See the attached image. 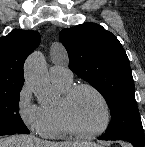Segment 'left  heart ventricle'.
Instances as JSON below:
<instances>
[{
  "label": "left heart ventricle",
  "mask_w": 145,
  "mask_h": 147,
  "mask_svg": "<svg viewBox=\"0 0 145 147\" xmlns=\"http://www.w3.org/2000/svg\"><path fill=\"white\" fill-rule=\"evenodd\" d=\"M71 116L76 125L84 131L101 128L105 122V108L100 99L87 89L80 90L70 106Z\"/></svg>",
  "instance_id": "b2bd125f"
}]
</instances>
